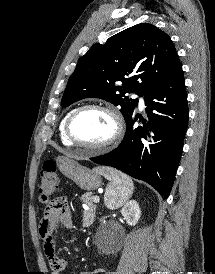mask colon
<instances>
[{
    "mask_svg": "<svg viewBox=\"0 0 215 274\" xmlns=\"http://www.w3.org/2000/svg\"><path fill=\"white\" fill-rule=\"evenodd\" d=\"M59 189V177L56 163L53 160H46L41 170V180L39 185L40 198L47 201Z\"/></svg>",
    "mask_w": 215,
    "mask_h": 274,
    "instance_id": "5ec220e1",
    "label": "colon"
}]
</instances>
